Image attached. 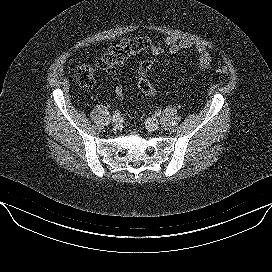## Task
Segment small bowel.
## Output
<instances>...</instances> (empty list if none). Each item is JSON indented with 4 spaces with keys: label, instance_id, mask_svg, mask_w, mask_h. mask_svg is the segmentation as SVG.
Listing matches in <instances>:
<instances>
[{
    "label": "small bowel",
    "instance_id": "obj_1",
    "mask_svg": "<svg viewBox=\"0 0 272 272\" xmlns=\"http://www.w3.org/2000/svg\"><path fill=\"white\" fill-rule=\"evenodd\" d=\"M147 48L155 56H159L165 53L174 55L183 50L193 49L197 55V63L201 69H208L212 63V58L204 46L196 45L190 40H180L175 36H168L161 42L148 41Z\"/></svg>",
    "mask_w": 272,
    "mask_h": 272
}]
</instances>
